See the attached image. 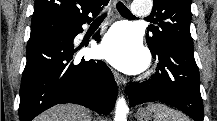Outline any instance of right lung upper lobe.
I'll return each instance as SVG.
<instances>
[{"instance_id": "obj_1", "label": "right lung upper lobe", "mask_w": 217, "mask_h": 121, "mask_svg": "<svg viewBox=\"0 0 217 121\" xmlns=\"http://www.w3.org/2000/svg\"><path fill=\"white\" fill-rule=\"evenodd\" d=\"M109 0H35L31 23L57 20L70 24L83 22L102 9Z\"/></svg>"}]
</instances>
